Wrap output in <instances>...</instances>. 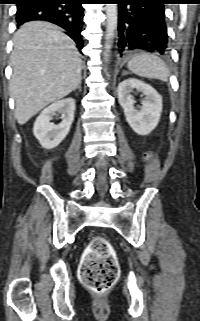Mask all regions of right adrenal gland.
Segmentation results:
<instances>
[{
  "label": "right adrenal gland",
  "instance_id": "obj_1",
  "mask_svg": "<svg viewBox=\"0 0 200 321\" xmlns=\"http://www.w3.org/2000/svg\"><path fill=\"white\" fill-rule=\"evenodd\" d=\"M76 89H78L80 92L82 91V89H81V81L79 82L77 87L74 89V91H76Z\"/></svg>",
  "mask_w": 200,
  "mask_h": 321
}]
</instances>
